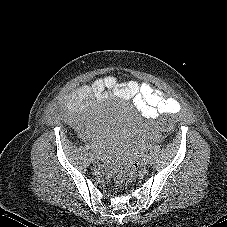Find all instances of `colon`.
I'll list each match as a JSON object with an SVG mask.
<instances>
[{"label": "colon", "instance_id": "colon-1", "mask_svg": "<svg viewBox=\"0 0 227 227\" xmlns=\"http://www.w3.org/2000/svg\"><path fill=\"white\" fill-rule=\"evenodd\" d=\"M175 117L172 114L163 116L158 122L161 131H170L174 127ZM138 164L134 160L123 162L117 169H113L112 180L116 187L126 188L135 178Z\"/></svg>", "mask_w": 227, "mask_h": 227}]
</instances>
